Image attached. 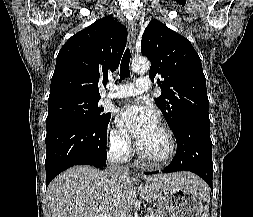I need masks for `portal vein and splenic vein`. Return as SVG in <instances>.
Wrapping results in <instances>:
<instances>
[{
	"mask_svg": "<svg viewBox=\"0 0 253 217\" xmlns=\"http://www.w3.org/2000/svg\"><path fill=\"white\" fill-rule=\"evenodd\" d=\"M144 217H150V216L146 215V216H144Z\"/></svg>",
	"mask_w": 253,
	"mask_h": 217,
	"instance_id": "1",
	"label": "portal vein and splenic vein"
}]
</instances>
